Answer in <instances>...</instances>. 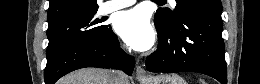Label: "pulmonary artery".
Wrapping results in <instances>:
<instances>
[{
  "label": "pulmonary artery",
  "instance_id": "pulmonary-artery-1",
  "mask_svg": "<svg viewBox=\"0 0 260 84\" xmlns=\"http://www.w3.org/2000/svg\"><path fill=\"white\" fill-rule=\"evenodd\" d=\"M135 2L136 1H134V0H111V1H107L100 6L99 12L101 14H108V13L120 10L122 8L129 7V6L133 5ZM170 3L172 5H175L176 1L170 0Z\"/></svg>",
  "mask_w": 260,
  "mask_h": 84
}]
</instances>
